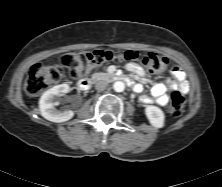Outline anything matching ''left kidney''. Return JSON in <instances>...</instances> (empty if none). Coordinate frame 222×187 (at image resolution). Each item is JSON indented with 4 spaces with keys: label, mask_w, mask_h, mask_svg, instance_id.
<instances>
[{
    "label": "left kidney",
    "mask_w": 222,
    "mask_h": 187,
    "mask_svg": "<svg viewBox=\"0 0 222 187\" xmlns=\"http://www.w3.org/2000/svg\"><path fill=\"white\" fill-rule=\"evenodd\" d=\"M145 113L152 126L156 128H162L164 126L165 116L159 107L148 105L145 109Z\"/></svg>",
    "instance_id": "obj_1"
}]
</instances>
